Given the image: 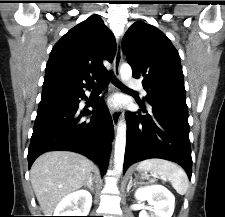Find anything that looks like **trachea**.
I'll list each match as a JSON object with an SVG mask.
<instances>
[{
    "mask_svg": "<svg viewBox=\"0 0 225 217\" xmlns=\"http://www.w3.org/2000/svg\"><path fill=\"white\" fill-rule=\"evenodd\" d=\"M112 79L113 83L120 88H127L125 85H123L121 82L116 80L111 73L106 75L103 79H101L98 83L91 85L93 89H103L106 87V85L109 83V81Z\"/></svg>",
    "mask_w": 225,
    "mask_h": 217,
    "instance_id": "1",
    "label": "trachea"
}]
</instances>
